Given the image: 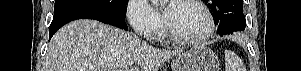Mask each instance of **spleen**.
<instances>
[{"mask_svg": "<svg viewBox=\"0 0 301 71\" xmlns=\"http://www.w3.org/2000/svg\"><path fill=\"white\" fill-rule=\"evenodd\" d=\"M225 69L226 71H245L240 58L230 50H225Z\"/></svg>", "mask_w": 301, "mask_h": 71, "instance_id": "1", "label": "spleen"}]
</instances>
